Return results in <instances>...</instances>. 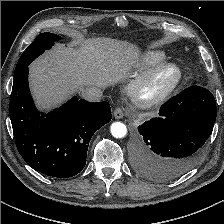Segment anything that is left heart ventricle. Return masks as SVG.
I'll return each instance as SVG.
<instances>
[{
	"mask_svg": "<svg viewBox=\"0 0 224 224\" xmlns=\"http://www.w3.org/2000/svg\"><path fill=\"white\" fill-rule=\"evenodd\" d=\"M170 78L169 73H163L161 74L156 81L154 82V84L151 87V92H157L159 91L163 86H165V84L168 82Z\"/></svg>",
	"mask_w": 224,
	"mask_h": 224,
	"instance_id": "obj_1",
	"label": "left heart ventricle"
}]
</instances>
